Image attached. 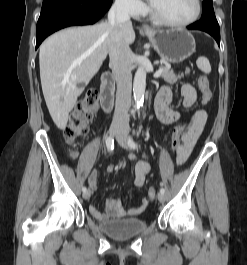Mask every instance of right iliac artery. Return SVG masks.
Masks as SVG:
<instances>
[{"label":"right iliac artery","instance_id":"obj_1","mask_svg":"<svg viewBox=\"0 0 247 265\" xmlns=\"http://www.w3.org/2000/svg\"><path fill=\"white\" fill-rule=\"evenodd\" d=\"M106 146H107V148H108L109 151H112V150L114 149V140H113L112 137H108V138L106 139ZM86 190H87V189H86L85 186L82 187V191H83V192H85Z\"/></svg>","mask_w":247,"mask_h":265}]
</instances>
